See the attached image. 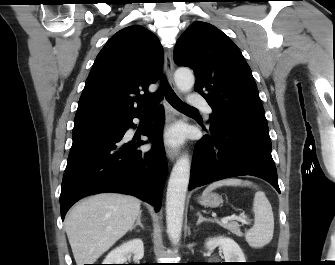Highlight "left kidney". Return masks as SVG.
I'll use <instances>...</instances> for the list:
<instances>
[{"mask_svg": "<svg viewBox=\"0 0 335 265\" xmlns=\"http://www.w3.org/2000/svg\"><path fill=\"white\" fill-rule=\"evenodd\" d=\"M206 248L209 251L214 250L220 246L223 250L225 262H245V256L240 246L231 238L228 237H215L206 241Z\"/></svg>", "mask_w": 335, "mask_h": 265, "instance_id": "1", "label": "left kidney"}]
</instances>
